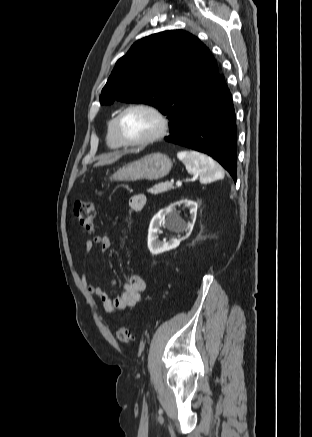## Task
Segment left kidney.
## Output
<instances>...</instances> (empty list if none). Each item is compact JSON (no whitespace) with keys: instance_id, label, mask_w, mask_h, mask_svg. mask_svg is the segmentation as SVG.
<instances>
[{"instance_id":"5707ae66","label":"left kidney","mask_w":312,"mask_h":437,"mask_svg":"<svg viewBox=\"0 0 312 437\" xmlns=\"http://www.w3.org/2000/svg\"><path fill=\"white\" fill-rule=\"evenodd\" d=\"M187 205L190 207L191 221L186 223L181 217L179 212L176 210V206ZM198 204L191 200H180L173 204H170L167 208L161 209L151 220L149 230H148V248L150 252L154 255L163 253L175 249L179 246L181 239L173 237L169 241H160L158 239V233L160 232V227L165 222V217H167L166 226L169 230L176 233L181 232H191L197 215Z\"/></svg>"}]
</instances>
